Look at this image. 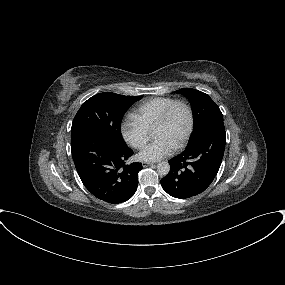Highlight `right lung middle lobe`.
<instances>
[{
	"label": "right lung middle lobe",
	"instance_id": "1",
	"mask_svg": "<svg viewBox=\"0 0 285 285\" xmlns=\"http://www.w3.org/2000/svg\"><path fill=\"white\" fill-rule=\"evenodd\" d=\"M141 96L131 97L111 92L99 93L82 104L71 128V134L87 131L125 147L120 126L123 115Z\"/></svg>",
	"mask_w": 285,
	"mask_h": 285
}]
</instances>
